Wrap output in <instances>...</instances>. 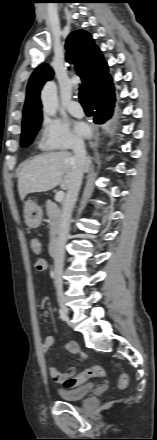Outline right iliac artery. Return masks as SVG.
I'll return each mask as SVG.
<instances>
[{
    "label": "right iliac artery",
    "mask_w": 157,
    "mask_h": 440,
    "mask_svg": "<svg viewBox=\"0 0 157 440\" xmlns=\"http://www.w3.org/2000/svg\"><path fill=\"white\" fill-rule=\"evenodd\" d=\"M59 314H60V318L65 321L66 320V316L64 314V312L62 311V309H59Z\"/></svg>",
    "instance_id": "1"
}]
</instances>
